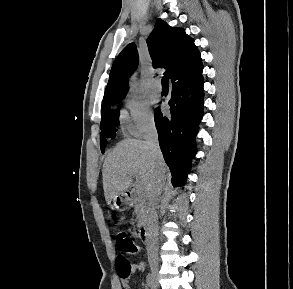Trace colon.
I'll use <instances>...</instances> for the list:
<instances>
[{"mask_svg": "<svg viewBox=\"0 0 293 289\" xmlns=\"http://www.w3.org/2000/svg\"><path fill=\"white\" fill-rule=\"evenodd\" d=\"M116 242L118 247L126 254V255H137L140 253L141 247L140 245L130 236L119 232L116 235ZM118 273L121 277L125 278L131 271V264L128 261L127 257L121 256L117 262Z\"/></svg>", "mask_w": 293, "mask_h": 289, "instance_id": "5ec220e1", "label": "colon"}]
</instances>
